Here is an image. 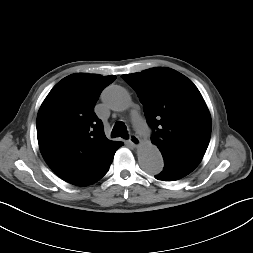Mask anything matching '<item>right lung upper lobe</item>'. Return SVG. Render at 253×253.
Masks as SVG:
<instances>
[{"label":"right lung upper lobe","instance_id":"obj_1","mask_svg":"<svg viewBox=\"0 0 253 253\" xmlns=\"http://www.w3.org/2000/svg\"><path fill=\"white\" fill-rule=\"evenodd\" d=\"M115 76L76 73L59 81L37 115V137L45 161L64 181L87 186L107 172L117 142L108 140L94 113L102 90Z\"/></svg>","mask_w":253,"mask_h":253}]
</instances>
